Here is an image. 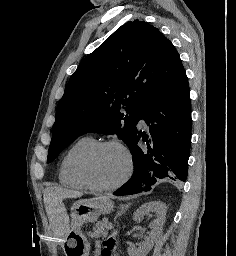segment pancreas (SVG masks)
<instances>
[{"label": "pancreas", "mask_w": 236, "mask_h": 256, "mask_svg": "<svg viewBox=\"0 0 236 256\" xmlns=\"http://www.w3.org/2000/svg\"><path fill=\"white\" fill-rule=\"evenodd\" d=\"M108 230H112L110 224L97 222L93 228V232H89L88 236H91V238H106L108 236Z\"/></svg>", "instance_id": "1"}]
</instances>
